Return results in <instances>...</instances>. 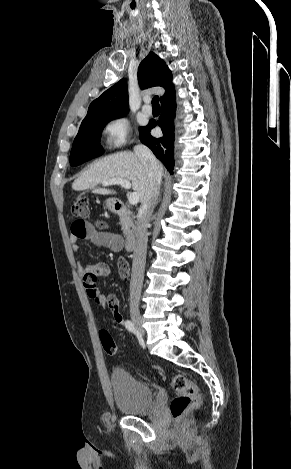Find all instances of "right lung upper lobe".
<instances>
[{
  "label": "right lung upper lobe",
  "instance_id": "obj_1",
  "mask_svg": "<svg viewBox=\"0 0 291 469\" xmlns=\"http://www.w3.org/2000/svg\"><path fill=\"white\" fill-rule=\"evenodd\" d=\"M171 78V71L166 63L153 52H150L139 65L138 81L141 89L154 86L165 89L160 102L174 93ZM128 110V92L125 79H122L90 104L84 120L122 115Z\"/></svg>",
  "mask_w": 291,
  "mask_h": 469
}]
</instances>
